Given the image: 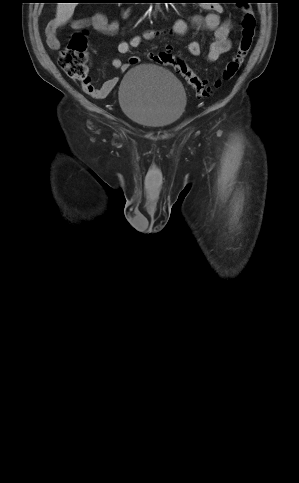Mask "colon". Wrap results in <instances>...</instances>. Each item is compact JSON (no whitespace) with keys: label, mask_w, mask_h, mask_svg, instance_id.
<instances>
[{"label":"colon","mask_w":299,"mask_h":483,"mask_svg":"<svg viewBox=\"0 0 299 483\" xmlns=\"http://www.w3.org/2000/svg\"><path fill=\"white\" fill-rule=\"evenodd\" d=\"M255 28V15L252 10L245 8L241 16L240 38L237 47L220 75L214 80L200 78L182 58L168 50L152 54L151 60L156 64L172 67L185 79L197 96L207 97L236 75L251 49ZM86 49V34L83 32L74 34L61 52L59 65L69 77L81 82L87 90H91L92 84L88 77Z\"/></svg>","instance_id":"colon-1"}]
</instances>
